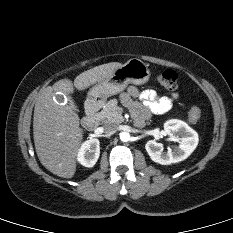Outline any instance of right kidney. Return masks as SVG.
Listing matches in <instances>:
<instances>
[{
    "label": "right kidney",
    "instance_id": "obj_1",
    "mask_svg": "<svg viewBox=\"0 0 233 233\" xmlns=\"http://www.w3.org/2000/svg\"><path fill=\"white\" fill-rule=\"evenodd\" d=\"M100 155V142L93 138L85 141L78 150L77 159L85 167H93Z\"/></svg>",
    "mask_w": 233,
    "mask_h": 233
}]
</instances>
